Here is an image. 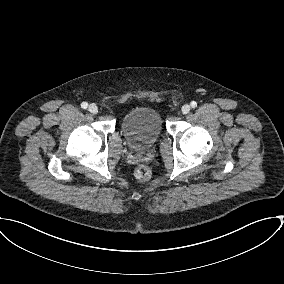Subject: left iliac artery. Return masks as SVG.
Segmentation results:
<instances>
[{
    "label": "left iliac artery",
    "instance_id": "1",
    "mask_svg": "<svg viewBox=\"0 0 284 284\" xmlns=\"http://www.w3.org/2000/svg\"><path fill=\"white\" fill-rule=\"evenodd\" d=\"M190 105H191L192 108H195V107H197V102L196 101H192L190 103Z\"/></svg>",
    "mask_w": 284,
    "mask_h": 284
}]
</instances>
